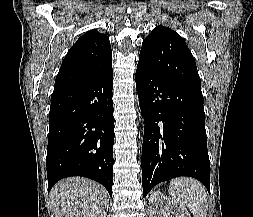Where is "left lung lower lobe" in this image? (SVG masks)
I'll return each instance as SVG.
<instances>
[{
  "mask_svg": "<svg viewBox=\"0 0 253 217\" xmlns=\"http://www.w3.org/2000/svg\"><path fill=\"white\" fill-rule=\"evenodd\" d=\"M136 88L145 121L143 196L158 183L190 176L210 191L202 92L173 82L138 61Z\"/></svg>",
  "mask_w": 253,
  "mask_h": 217,
  "instance_id": "0a47b994",
  "label": "left lung lower lobe"
}]
</instances>
